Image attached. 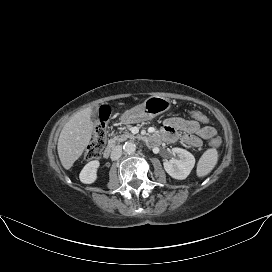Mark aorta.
Returning a JSON list of instances; mask_svg holds the SVG:
<instances>
[{
	"mask_svg": "<svg viewBox=\"0 0 272 272\" xmlns=\"http://www.w3.org/2000/svg\"><path fill=\"white\" fill-rule=\"evenodd\" d=\"M123 149L126 154H133L136 151V145L133 142H125Z\"/></svg>",
	"mask_w": 272,
	"mask_h": 272,
	"instance_id": "762f6f07",
	"label": "aorta"
}]
</instances>
